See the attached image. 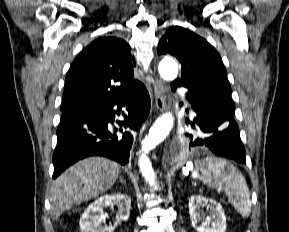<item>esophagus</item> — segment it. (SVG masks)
<instances>
[{"mask_svg": "<svg viewBox=\"0 0 289 232\" xmlns=\"http://www.w3.org/2000/svg\"><path fill=\"white\" fill-rule=\"evenodd\" d=\"M153 93L155 99V108L159 112L167 109L166 104V88L160 79L155 78L153 81Z\"/></svg>", "mask_w": 289, "mask_h": 232, "instance_id": "obj_1", "label": "esophagus"}]
</instances>
